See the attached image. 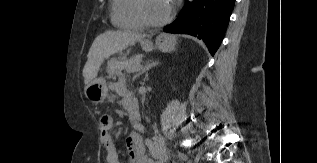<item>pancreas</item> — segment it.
<instances>
[{"instance_id":"1","label":"pancreas","mask_w":317,"mask_h":163,"mask_svg":"<svg viewBox=\"0 0 317 163\" xmlns=\"http://www.w3.org/2000/svg\"><path fill=\"white\" fill-rule=\"evenodd\" d=\"M141 56H134L130 59L121 57L120 59L112 58L108 61V75L109 78L120 77L123 71L131 70L135 65L140 64Z\"/></svg>"}]
</instances>
